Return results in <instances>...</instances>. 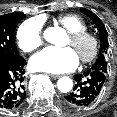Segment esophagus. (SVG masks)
Wrapping results in <instances>:
<instances>
[{
    "label": "esophagus",
    "instance_id": "esophagus-1",
    "mask_svg": "<svg viewBox=\"0 0 117 117\" xmlns=\"http://www.w3.org/2000/svg\"><path fill=\"white\" fill-rule=\"evenodd\" d=\"M49 76H50L51 78L56 79V78H59L61 75H59V74H49Z\"/></svg>",
    "mask_w": 117,
    "mask_h": 117
}]
</instances>
